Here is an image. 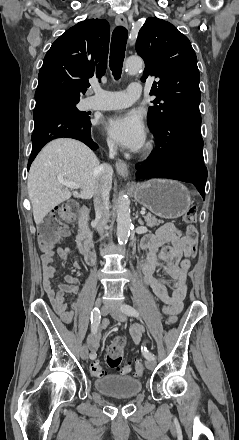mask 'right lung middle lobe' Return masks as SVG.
Returning a JSON list of instances; mask_svg holds the SVG:
<instances>
[{
  "label": "right lung middle lobe",
  "mask_w": 239,
  "mask_h": 440,
  "mask_svg": "<svg viewBox=\"0 0 239 440\" xmlns=\"http://www.w3.org/2000/svg\"><path fill=\"white\" fill-rule=\"evenodd\" d=\"M80 98L79 97H52V98H48L45 100H42L40 102L37 103H42V102H57L60 104H63L65 106H67L68 108L71 109V111L78 117L80 118H87L88 114L86 112H81L76 108V104L79 102ZM36 103V104H37Z\"/></svg>",
  "instance_id": "obj_1"
}]
</instances>
